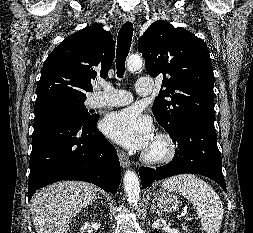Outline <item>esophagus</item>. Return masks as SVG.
I'll use <instances>...</instances> for the list:
<instances>
[{"instance_id":"34e87169","label":"esophagus","mask_w":253,"mask_h":233,"mask_svg":"<svg viewBox=\"0 0 253 233\" xmlns=\"http://www.w3.org/2000/svg\"><path fill=\"white\" fill-rule=\"evenodd\" d=\"M134 20H135V16L132 13H129L124 17L125 22H134ZM117 152H118V157H119L120 164H121L122 168L129 167L130 160H129V157L127 156V154L122 150H118Z\"/></svg>"}]
</instances>
